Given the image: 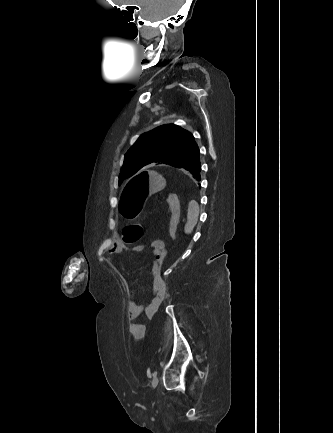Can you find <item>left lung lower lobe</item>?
<instances>
[{"label": "left lung lower lobe", "mask_w": 333, "mask_h": 433, "mask_svg": "<svg viewBox=\"0 0 333 433\" xmlns=\"http://www.w3.org/2000/svg\"><path fill=\"white\" fill-rule=\"evenodd\" d=\"M183 169L187 170L192 176L197 180H201L200 172H201V163H200V155L197 156L194 160L187 163Z\"/></svg>", "instance_id": "0a47b994"}]
</instances>
